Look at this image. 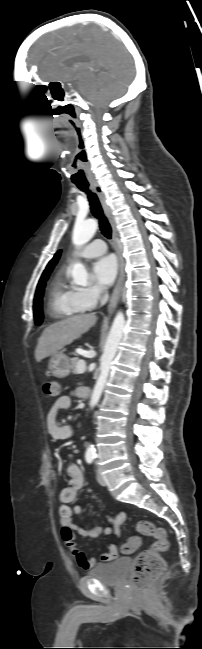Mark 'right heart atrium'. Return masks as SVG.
I'll list each match as a JSON object with an SVG mask.
<instances>
[{"label": "right heart atrium", "mask_w": 202, "mask_h": 649, "mask_svg": "<svg viewBox=\"0 0 202 649\" xmlns=\"http://www.w3.org/2000/svg\"><path fill=\"white\" fill-rule=\"evenodd\" d=\"M105 296V291L99 286L81 288L78 291V299L86 308H94Z\"/></svg>", "instance_id": "d8ad5b80"}]
</instances>
